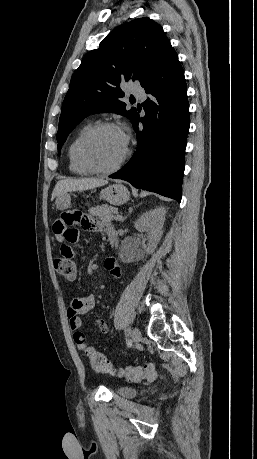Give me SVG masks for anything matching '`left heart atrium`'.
I'll use <instances>...</instances> for the list:
<instances>
[{
    "label": "left heart atrium",
    "mask_w": 257,
    "mask_h": 459,
    "mask_svg": "<svg viewBox=\"0 0 257 459\" xmlns=\"http://www.w3.org/2000/svg\"><path fill=\"white\" fill-rule=\"evenodd\" d=\"M120 134H121V137H122V140H123L124 144L127 146L128 140H129V135H128L126 129L120 130Z\"/></svg>",
    "instance_id": "left-heart-atrium-1"
}]
</instances>
